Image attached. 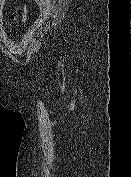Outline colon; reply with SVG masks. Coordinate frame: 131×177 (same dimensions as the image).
I'll return each instance as SVG.
<instances>
[{
    "label": "colon",
    "instance_id": "obj_1",
    "mask_svg": "<svg viewBox=\"0 0 131 177\" xmlns=\"http://www.w3.org/2000/svg\"><path fill=\"white\" fill-rule=\"evenodd\" d=\"M26 16H27V8L26 5L23 3L20 12L13 13L11 18L15 24H22L25 21Z\"/></svg>",
    "mask_w": 131,
    "mask_h": 177
}]
</instances>
